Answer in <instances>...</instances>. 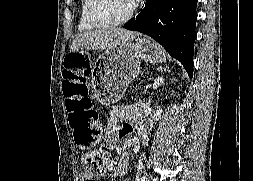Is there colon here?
<instances>
[{
	"instance_id": "5ec220e1",
	"label": "colon",
	"mask_w": 253,
	"mask_h": 181,
	"mask_svg": "<svg viewBox=\"0 0 253 181\" xmlns=\"http://www.w3.org/2000/svg\"><path fill=\"white\" fill-rule=\"evenodd\" d=\"M80 57L69 54L65 60L63 92L66 99L69 126L75 143L82 148H89L102 135L100 115L92 107L85 83L86 76L79 70ZM109 163L106 151L96 149L83 156V166L92 176L102 173Z\"/></svg>"
}]
</instances>
